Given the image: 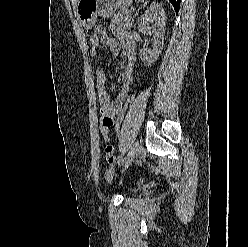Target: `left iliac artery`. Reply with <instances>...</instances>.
Here are the masks:
<instances>
[{"instance_id":"left-iliac-artery-1","label":"left iliac artery","mask_w":248,"mask_h":247,"mask_svg":"<svg viewBox=\"0 0 248 247\" xmlns=\"http://www.w3.org/2000/svg\"><path fill=\"white\" fill-rule=\"evenodd\" d=\"M123 155L121 154L118 158V165H120L123 162Z\"/></svg>"}]
</instances>
